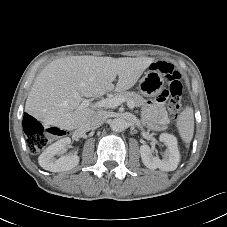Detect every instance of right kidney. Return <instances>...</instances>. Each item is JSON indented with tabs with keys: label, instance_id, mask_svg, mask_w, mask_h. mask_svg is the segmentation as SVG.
<instances>
[{
	"label": "right kidney",
	"instance_id": "obj_1",
	"mask_svg": "<svg viewBox=\"0 0 227 227\" xmlns=\"http://www.w3.org/2000/svg\"><path fill=\"white\" fill-rule=\"evenodd\" d=\"M70 142L71 139L65 137L47 147L39 156L40 166L51 172L68 171L76 167L79 164V157L75 154L61 156L59 159L55 158V155L61 153Z\"/></svg>",
	"mask_w": 227,
	"mask_h": 227
}]
</instances>
